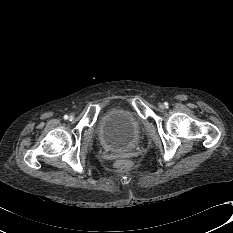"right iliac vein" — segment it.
I'll return each mask as SVG.
<instances>
[{
  "instance_id": "1",
  "label": "right iliac vein",
  "mask_w": 233,
  "mask_h": 233,
  "mask_svg": "<svg viewBox=\"0 0 233 233\" xmlns=\"http://www.w3.org/2000/svg\"><path fill=\"white\" fill-rule=\"evenodd\" d=\"M69 119H70V120H73V119H74V116H73V115H70V116H69Z\"/></svg>"
}]
</instances>
